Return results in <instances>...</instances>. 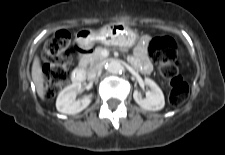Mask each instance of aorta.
I'll return each instance as SVG.
<instances>
[{"mask_svg": "<svg viewBox=\"0 0 225 155\" xmlns=\"http://www.w3.org/2000/svg\"><path fill=\"white\" fill-rule=\"evenodd\" d=\"M107 70H108V72H110L112 74H119L122 72L123 66L121 65V63L119 61L112 60L111 62H109L108 66H107Z\"/></svg>", "mask_w": 225, "mask_h": 155, "instance_id": "aorta-1", "label": "aorta"}]
</instances>
